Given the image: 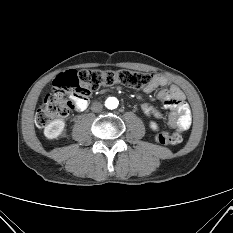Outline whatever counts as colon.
I'll list each match as a JSON object with an SVG mask.
<instances>
[{"instance_id": "colon-1", "label": "colon", "mask_w": 233, "mask_h": 233, "mask_svg": "<svg viewBox=\"0 0 233 233\" xmlns=\"http://www.w3.org/2000/svg\"><path fill=\"white\" fill-rule=\"evenodd\" d=\"M151 79L149 73L130 70L65 71L56 77L52 91L46 95L37 110L35 123L39 128H43L51 121L67 116L76 109L79 102L87 100L93 91L101 87L121 84L129 88L144 89ZM155 140L160 145H177L182 142V135L177 131L159 132Z\"/></svg>"}]
</instances>
